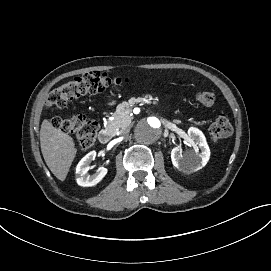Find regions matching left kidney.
<instances>
[{"mask_svg":"<svg viewBox=\"0 0 271 271\" xmlns=\"http://www.w3.org/2000/svg\"><path fill=\"white\" fill-rule=\"evenodd\" d=\"M188 134L196 139L197 144L201 147V153L199 154L195 149L190 154L183 153L179 148H173L171 151L173 165L184 174L193 173L201 165L208 163L211 155L206 137L199 128L191 126L188 129Z\"/></svg>","mask_w":271,"mask_h":271,"instance_id":"5707ae66","label":"left kidney"}]
</instances>
